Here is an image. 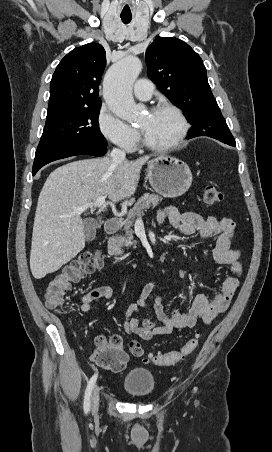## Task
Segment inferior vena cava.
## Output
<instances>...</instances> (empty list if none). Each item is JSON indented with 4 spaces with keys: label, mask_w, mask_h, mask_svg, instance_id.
Segmentation results:
<instances>
[{
    "label": "inferior vena cava",
    "mask_w": 272,
    "mask_h": 452,
    "mask_svg": "<svg viewBox=\"0 0 272 452\" xmlns=\"http://www.w3.org/2000/svg\"><path fill=\"white\" fill-rule=\"evenodd\" d=\"M125 156H126L125 152L118 148H113V150L110 153V158L114 164H119L122 161H124Z\"/></svg>",
    "instance_id": "inferior-vena-cava-1"
}]
</instances>
